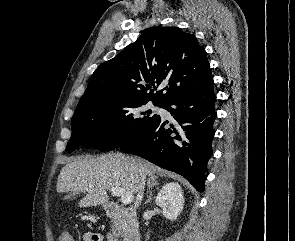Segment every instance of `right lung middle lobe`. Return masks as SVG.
Returning <instances> with one entry per match:
<instances>
[{"instance_id": "right-lung-middle-lobe-1", "label": "right lung middle lobe", "mask_w": 295, "mask_h": 241, "mask_svg": "<svg viewBox=\"0 0 295 241\" xmlns=\"http://www.w3.org/2000/svg\"><path fill=\"white\" fill-rule=\"evenodd\" d=\"M146 104L122 97L80 101L72 117L66 151L72 152L80 145L101 151L121 146L159 116L146 110Z\"/></svg>"}]
</instances>
